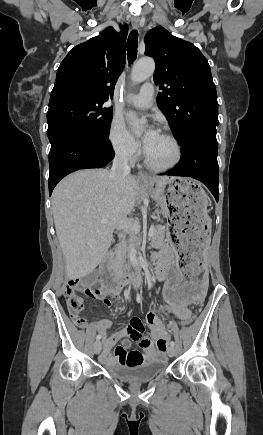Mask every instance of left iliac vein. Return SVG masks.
Returning <instances> with one entry per match:
<instances>
[{
  "mask_svg": "<svg viewBox=\"0 0 263 435\" xmlns=\"http://www.w3.org/2000/svg\"><path fill=\"white\" fill-rule=\"evenodd\" d=\"M167 353L170 357H173L175 355V348L173 346H170L167 350Z\"/></svg>",
  "mask_w": 263,
  "mask_h": 435,
  "instance_id": "left-iliac-vein-1",
  "label": "left iliac vein"
}]
</instances>
